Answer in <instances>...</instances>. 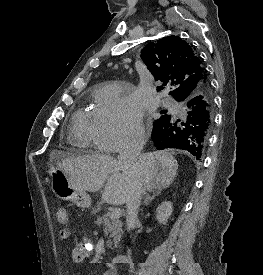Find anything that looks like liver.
Instances as JSON below:
<instances>
[{
    "mask_svg": "<svg viewBox=\"0 0 263 275\" xmlns=\"http://www.w3.org/2000/svg\"><path fill=\"white\" fill-rule=\"evenodd\" d=\"M50 159L78 189L97 192L104 188L103 201L112 205L126 203L130 180L117 159L102 154L66 156L60 151L51 152ZM139 167L143 190L160 193L172 184L178 163L169 152L154 151L139 156Z\"/></svg>",
    "mask_w": 263,
    "mask_h": 275,
    "instance_id": "obj_1",
    "label": "liver"
}]
</instances>
